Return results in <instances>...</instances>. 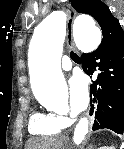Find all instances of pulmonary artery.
Segmentation results:
<instances>
[{
	"mask_svg": "<svg viewBox=\"0 0 124 149\" xmlns=\"http://www.w3.org/2000/svg\"><path fill=\"white\" fill-rule=\"evenodd\" d=\"M62 68L64 70H70L71 69V59L69 56H64L62 60Z\"/></svg>",
	"mask_w": 124,
	"mask_h": 149,
	"instance_id": "pulmonary-artery-1",
	"label": "pulmonary artery"
}]
</instances>
